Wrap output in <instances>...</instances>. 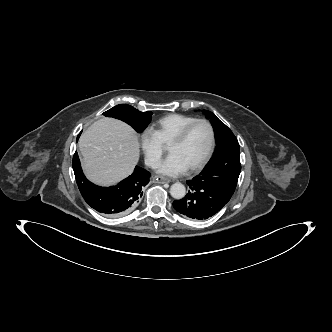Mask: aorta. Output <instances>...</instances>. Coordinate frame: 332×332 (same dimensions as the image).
Instances as JSON below:
<instances>
[{"mask_svg":"<svg viewBox=\"0 0 332 332\" xmlns=\"http://www.w3.org/2000/svg\"><path fill=\"white\" fill-rule=\"evenodd\" d=\"M170 194L174 199L180 200L185 197L186 188L182 183H174L170 188Z\"/></svg>","mask_w":332,"mask_h":332,"instance_id":"aorta-1","label":"aorta"}]
</instances>
